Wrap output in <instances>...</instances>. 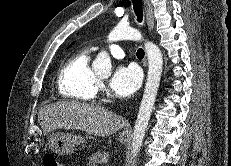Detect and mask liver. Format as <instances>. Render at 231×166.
<instances>
[{
    "instance_id": "liver-1",
    "label": "liver",
    "mask_w": 231,
    "mask_h": 166,
    "mask_svg": "<svg viewBox=\"0 0 231 166\" xmlns=\"http://www.w3.org/2000/svg\"><path fill=\"white\" fill-rule=\"evenodd\" d=\"M38 122L43 134L56 129H76L95 136H109L124 127L126 121L102 107L79 101H61L39 110Z\"/></svg>"
}]
</instances>
